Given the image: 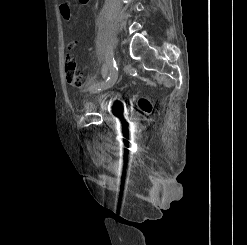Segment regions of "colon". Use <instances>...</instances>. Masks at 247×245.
I'll return each instance as SVG.
<instances>
[{
	"label": "colon",
	"mask_w": 247,
	"mask_h": 245,
	"mask_svg": "<svg viewBox=\"0 0 247 245\" xmlns=\"http://www.w3.org/2000/svg\"><path fill=\"white\" fill-rule=\"evenodd\" d=\"M72 46L73 44L69 45V52L67 53L65 58V77L68 84L75 87H80L84 83V75L78 68L76 59L70 51ZM139 107L143 112L146 113L150 112L152 109L151 103L146 99H140Z\"/></svg>",
	"instance_id": "5ec220e1"
}]
</instances>
